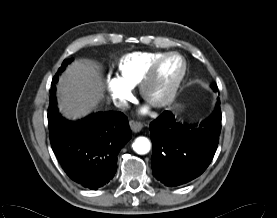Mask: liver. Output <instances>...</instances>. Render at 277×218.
Instances as JSON below:
<instances>
[{
    "label": "liver",
    "instance_id": "obj_1",
    "mask_svg": "<svg viewBox=\"0 0 277 218\" xmlns=\"http://www.w3.org/2000/svg\"><path fill=\"white\" fill-rule=\"evenodd\" d=\"M59 108L68 119H79L93 111L103 96L98 66L81 59L67 67L57 85Z\"/></svg>",
    "mask_w": 277,
    "mask_h": 218
}]
</instances>
